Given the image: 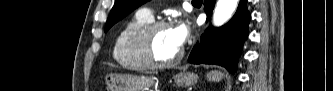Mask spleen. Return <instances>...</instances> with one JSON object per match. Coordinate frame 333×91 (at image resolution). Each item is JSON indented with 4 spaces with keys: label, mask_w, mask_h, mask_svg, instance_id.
Returning a JSON list of instances; mask_svg holds the SVG:
<instances>
[{
    "label": "spleen",
    "mask_w": 333,
    "mask_h": 91,
    "mask_svg": "<svg viewBox=\"0 0 333 91\" xmlns=\"http://www.w3.org/2000/svg\"><path fill=\"white\" fill-rule=\"evenodd\" d=\"M223 78V74L218 71H212L207 73V79L209 81L219 82Z\"/></svg>",
    "instance_id": "spleen-1"
}]
</instances>
